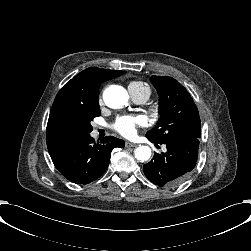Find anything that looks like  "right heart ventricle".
Returning <instances> with one entry per match:
<instances>
[{
  "instance_id": "1",
  "label": "right heart ventricle",
  "mask_w": 251,
  "mask_h": 251,
  "mask_svg": "<svg viewBox=\"0 0 251 251\" xmlns=\"http://www.w3.org/2000/svg\"><path fill=\"white\" fill-rule=\"evenodd\" d=\"M128 88L131 96L136 101H146L152 93V89L148 83L137 79L131 80Z\"/></svg>"
}]
</instances>
